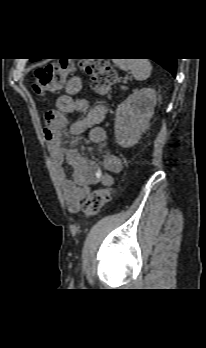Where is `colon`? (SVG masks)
<instances>
[{
  "label": "colon",
  "mask_w": 206,
  "mask_h": 348,
  "mask_svg": "<svg viewBox=\"0 0 206 348\" xmlns=\"http://www.w3.org/2000/svg\"><path fill=\"white\" fill-rule=\"evenodd\" d=\"M80 69L90 78L92 89L100 94L107 93L117 79L116 71L102 58H86L79 62ZM73 70L71 60H58L35 70L33 90L38 95L50 94L58 90ZM113 190L101 187L94 190L82 205L85 216L91 217L100 212L112 197Z\"/></svg>",
  "instance_id": "1"
}]
</instances>
